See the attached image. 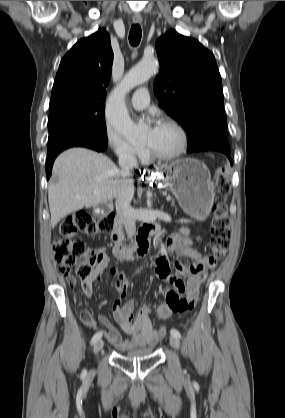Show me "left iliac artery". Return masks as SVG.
<instances>
[{"label": "left iliac artery", "instance_id": "left-iliac-artery-1", "mask_svg": "<svg viewBox=\"0 0 285 418\" xmlns=\"http://www.w3.org/2000/svg\"><path fill=\"white\" fill-rule=\"evenodd\" d=\"M170 333H171L172 336H174V337H176L178 339L181 338V334H180V332L177 329L172 328L170 330Z\"/></svg>", "mask_w": 285, "mask_h": 418}]
</instances>
